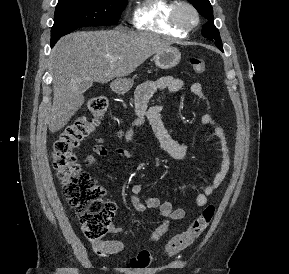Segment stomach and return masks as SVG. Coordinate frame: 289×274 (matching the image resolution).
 Returning <instances> with one entry per match:
<instances>
[{
	"label": "stomach",
	"mask_w": 289,
	"mask_h": 274,
	"mask_svg": "<svg viewBox=\"0 0 289 274\" xmlns=\"http://www.w3.org/2000/svg\"><path fill=\"white\" fill-rule=\"evenodd\" d=\"M181 59V53L178 49L168 47L167 49L158 52L154 56L155 64L161 69H170L178 65ZM133 86V81L127 78H117L111 84V88L118 94L128 92Z\"/></svg>",
	"instance_id": "0dacf381"
}]
</instances>
